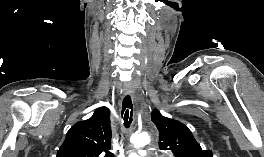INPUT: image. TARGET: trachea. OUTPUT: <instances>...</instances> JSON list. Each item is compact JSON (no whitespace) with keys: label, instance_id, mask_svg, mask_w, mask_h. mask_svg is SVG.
<instances>
[{"label":"trachea","instance_id":"trachea-1","mask_svg":"<svg viewBox=\"0 0 264 157\" xmlns=\"http://www.w3.org/2000/svg\"><path fill=\"white\" fill-rule=\"evenodd\" d=\"M133 110H132V102H131V98L129 95H127L124 99H123V103H122V117L124 119V125L125 127H129L133 118Z\"/></svg>","mask_w":264,"mask_h":157}]
</instances>
